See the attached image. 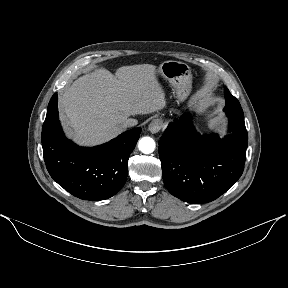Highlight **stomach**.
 I'll list each match as a JSON object with an SVG mask.
<instances>
[{
	"mask_svg": "<svg viewBox=\"0 0 288 288\" xmlns=\"http://www.w3.org/2000/svg\"><path fill=\"white\" fill-rule=\"evenodd\" d=\"M158 72L174 87L177 101H185L192 89L190 67L186 63L170 60L163 62Z\"/></svg>",
	"mask_w": 288,
	"mask_h": 288,
	"instance_id": "1",
	"label": "stomach"
}]
</instances>
